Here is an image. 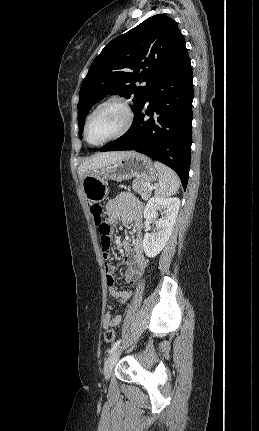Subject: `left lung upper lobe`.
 <instances>
[{"label": "left lung upper lobe", "instance_id": "left-lung-upper-lobe-1", "mask_svg": "<svg viewBox=\"0 0 259 431\" xmlns=\"http://www.w3.org/2000/svg\"><path fill=\"white\" fill-rule=\"evenodd\" d=\"M183 41L177 23L164 14L152 16L110 41L92 62L80 88L79 136L89 110L106 95L134 96L135 113ZM137 82L147 84L137 87Z\"/></svg>", "mask_w": 259, "mask_h": 431}]
</instances>
